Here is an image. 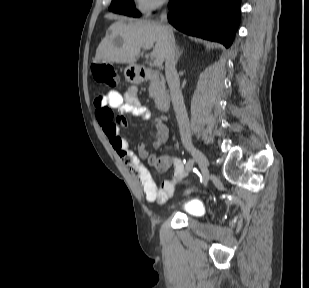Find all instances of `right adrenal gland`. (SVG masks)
<instances>
[{
  "instance_id": "1",
  "label": "right adrenal gland",
  "mask_w": 309,
  "mask_h": 288,
  "mask_svg": "<svg viewBox=\"0 0 309 288\" xmlns=\"http://www.w3.org/2000/svg\"><path fill=\"white\" fill-rule=\"evenodd\" d=\"M183 53V50H179V47H176V61L179 60L181 54Z\"/></svg>"
}]
</instances>
